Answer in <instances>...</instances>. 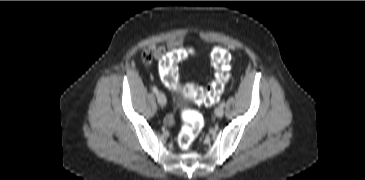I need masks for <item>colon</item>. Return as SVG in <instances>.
Segmentation results:
<instances>
[{
  "mask_svg": "<svg viewBox=\"0 0 365 180\" xmlns=\"http://www.w3.org/2000/svg\"><path fill=\"white\" fill-rule=\"evenodd\" d=\"M193 50L189 47H178L170 52L160 64V74L163 83L169 88H178V74L176 65L192 55ZM144 62L151 61V53L145 51L142 55ZM215 71V78L206 89L187 83L181 89L195 101L205 105H213L224 90L225 84L230 77V57L228 52L221 46H215L210 54ZM184 125L179 133L178 142L183 150H187L201 132L203 118L193 111L185 112L182 116Z\"/></svg>",
  "mask_w": 365,
  "mask_h": 180,
  "instance_id": "colon-1",
  "label": "colon"
}]
</instances>
